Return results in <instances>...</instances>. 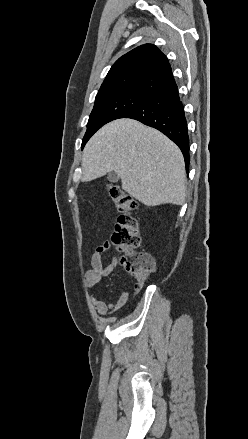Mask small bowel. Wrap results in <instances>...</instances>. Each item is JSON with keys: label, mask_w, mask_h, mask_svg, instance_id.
Returning <instances> with one entry per match:
<instances>
[{"label": "small bowel", "mask_w": 248, "mask_h": 439, "mask_svg": "<svg viewBox=\"0 0 248 439\" xmlns=\"http://www.w3.org/2000/svg\"><path fill=\"white\" fill-rule=\"evenodd\" d=\"M110 248L111 245L108 242L98 246L91 254L89 259L90 268L85 272V284L90 291V302L96 309L97 313L101 316L110 315L119 311L127 303L130 296L128 291H124L120 294L116 301L108 303L97 298L92 291L101 278L109 276L118 265V259L114 254L111 256V260L107 265L103 264V254L109 251ZM141 287L142 286L135 285L133 293L134 296L138 294V292L141 290Z\"/></svg>", "instance_id": "c3829d8e"}]
</instances>
